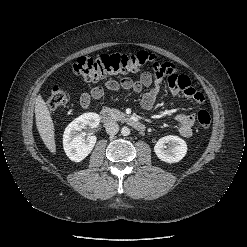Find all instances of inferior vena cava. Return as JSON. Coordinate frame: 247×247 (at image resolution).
<instances>
[{
	"label": "inferior vena cava",
	"mask_w": 247,
	"mask_h": 247,
	"mask_svg": "<svg viewBox=\"0 0 247 247\" xmlns=\"http://www.w3.org/2000/svg\"><path fill=\"white\" fill-rule=\"evenodd\" d=\"M106 132L110 135H114L119 131V125L116 122H108L106 124Z\"/></svg>",
	"instance_id": "1"
}]
</instances>
